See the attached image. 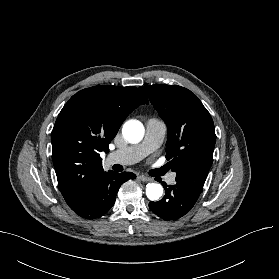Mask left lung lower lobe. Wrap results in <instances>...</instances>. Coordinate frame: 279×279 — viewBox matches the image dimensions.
Returning <instances> with one entry per match:
<instances>
[{"mask_svg":"<svg viewBox=\"0 0 279 279\" xmlns=\"http://www.w3.org/2000/svg\"><path fill=\"white\" fill-rule=\"evenodd\" d=\"M162 184L165 196L159 202H150L149 208L164 220H176L184 216L194 206L201 193L200 190L180 182L168 187L164 182Z\"/></svg>","mask_w":279,"mask_h":279,"instance_id":"left-lung-lower-lobe-1","label":"left lung lower lobe"}]
</instances>
